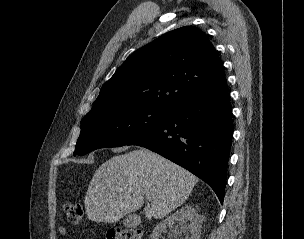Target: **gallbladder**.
<instances>
[{"mask_svg": "<svg viewBox=\"0 0 304 239\" xmlns=\"http://www.w3.org/2000/svg\"><path fill=\"white\" fill-rule=\"evenodd\" d=\"M138 217L134 214H130L126 217V219L123 221V225L128 228H134L138 225Z\"/></svg>", "mask_w": 304, "mask_h": 239, "instance_id": "1", "label": "gallbladder"}]
</instances>
